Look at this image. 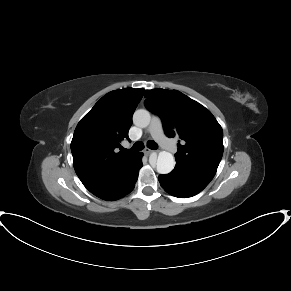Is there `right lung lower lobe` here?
Listing matches in <instances>:
<instances>
[{
    "label": "right lung lower lobe",
    "mask_w": 291,
    "mask_h": 291,
    "mask_svg": "<svg viewBox=\"0 0 291 291\" xmlns=\"http://www.w3.org/2000/svg\"><path fill=\"white\" fill-rule=\"evenodd\" d=\"M142 153H137L130 165L120 170L114 176L87 184L85 187L95 196L104 200H117L130 193L138 178L139 169L142 167Z\"/></svg>",
    "instance_id": "obj_1"
}]
</instances>
